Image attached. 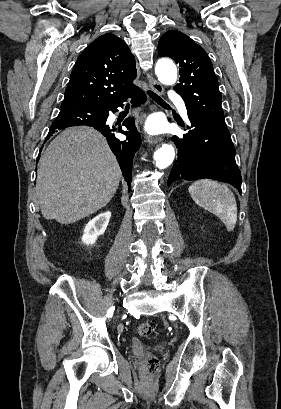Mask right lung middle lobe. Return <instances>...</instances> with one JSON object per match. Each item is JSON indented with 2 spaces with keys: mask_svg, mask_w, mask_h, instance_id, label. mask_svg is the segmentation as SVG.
I'll list each match as a JSON object with an SVG mask.
<instances>
[{
  "mask_svg": "<svg viewBox=\"0 0 281 409\" xmlns=\"http://www.w3.org/2000/svg\"><path fill=\"white\" fill-rule=\"evenodd\" d=\"M89 121L86 118L80 117H64L58 116L56 120L52 123L51 128H65L69 126L85 125Z\"/></svg>",
  "mask_w": 281,
  "mask_h": 409,
  "instance_id": "right-lung-middle-lobe-1",
  "label": "right lung middle lobe"
}]
</instances>
